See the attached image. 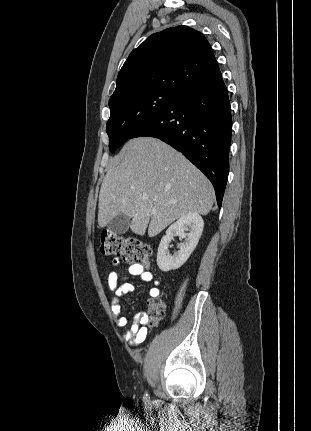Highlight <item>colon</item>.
Segmentation results:
<instances>
[{
	"label": "colon",
	"instance_id": "colon-1",
	"mask_svg": "<svg viewBox=\"0 0 311 431\" xmlns=\"http://www.w3.org/2000/svg\"><path fill=\"white\" fill-rule=\"evenodd\" d=\"M99 250L104 255L119 257L132 264L149 266L152 249L149 245L135 238H124L111 230H102L99 234ZM165 303L160 297H153L147 303L145 320L149 328L163 318Z\"/></svg>",
	"mask_w": 311,
	"mask_h": 431
}]
</instances>
